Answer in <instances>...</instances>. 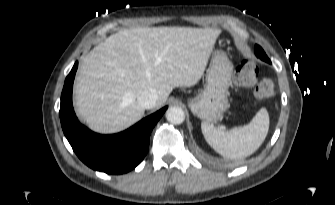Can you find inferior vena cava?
Instances as JSON below:
<instances>
[{
    "instance_id": "obj_1",
    "label": "inferior vena cava",
    "mask_w": 335,
    "mask_h": 205,
    "mask_svg": "<svg viewBox=\"0 0 335 205\" xmlns=\"http://www.w3.org/2000/svg\"><path fill=\"white\" fill-rule=\"evenodd\" d=\"M158 94L155 89L145 90L139 97L138 103L143 109H151L155 107Z\"/></svg>"
}]
</instances>
